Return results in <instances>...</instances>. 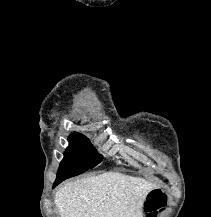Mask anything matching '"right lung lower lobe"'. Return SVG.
<instances>
[{"label": "right lung lower lobe", "mask_w": 211, "mask_h": 217, "mask_svg": "<svg viewBox=\"0 0 211 217\" xmlns=\"http://www.w3.org/2000/svg\"><path fill=\"white\" fill-rule=\"evenodd\" d=\"M63 180H56L53 187L57 186L59 183H61Z\"/></svg>", "instance_id": "1"}]
</instances>
